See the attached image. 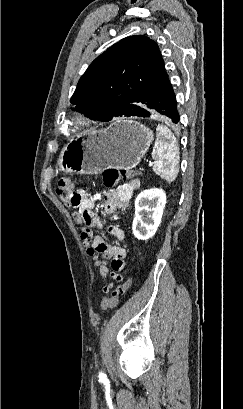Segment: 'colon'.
<instances>
[{"instance_id": "5ec220e1", "label": "colon", "mask_w": 243, "mask_h": 409, "mask_svg": "<svg viewBox=\"0 0 243 409\" xmlns=\"http://www.w3.org/2000/svg\"><path fill=\"white\" fill-rule=\"evenodd\" d=\"M135 176V171L128 168H108L103 173L104 185L108 188H112L119 184L121 181H127ZM56 194L58 198L68 207H77L80 202V197L77 194V190L74 189L73 180L70 178H63L59 180L56 187ZM131 286V279L127 278L126 281L118 285L111 293L110 297L102 300L100 305V311L106 312L109 309L115 308L120 298L127 292Z\"/></svg>"}]
</instances>
